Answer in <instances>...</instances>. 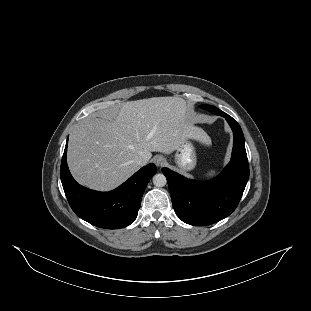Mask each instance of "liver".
I'll return each mask as SVG.
<instances>
[{"mask_svg":"<svg viewBox=\"0 0 311 311\" xmlns=\"http://www.w3.org/2000/svg\"><path fill=\"white\" fill-rule=\"evenodd\" d=\"M180 97L125 102L112 120L87 117L72 131L67 152L75 180L90 189L112 190L140 167L152 152L171 154L187 140L211 144L208 134L187 114ZM142 157L141 165L135 159Z\"/></svg>","mask_w":311,"mask_h":311,"instance_id":"liver-1","label":"liver"}]
</instances>
